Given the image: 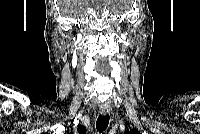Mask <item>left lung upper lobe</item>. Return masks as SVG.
<instances>
[{
	"label": "left lung upper lobe",
	"instance_id": "1",
	"mask_svg": "<svg viewBox=\"0 0 200 134\" xmlns=\"http://www.w3.org/2000/svg\"><path fill=\"white\" fill-rule=\"evenodd\" d=\"M129 134H139V132L138 131H131V132H129Z\"/></svg>",
	"mask_w": 200,
	"mask_h": 134
}]
</instances>
